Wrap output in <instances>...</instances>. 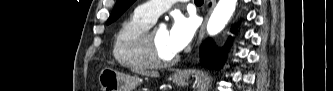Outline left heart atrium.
I'll return each instance as SVG.
<instances>
[{
	"label": "left heart atrium",
	"instance_id": "obj_1",
	"mask_svg": "<svg viewBox=\"0 0 333 91\" xmlns=\"http://www.w3.org/2000/svg\"><path fill=\"white\" fill-rule=\"evenodd\" d=\"M197 28L196 19L192 16H175L168 30V43L174 53L182 51L192 40Z\"/></svg>",
	"mask_w": 333,
	"mask_h": 91
}]
</instances>
